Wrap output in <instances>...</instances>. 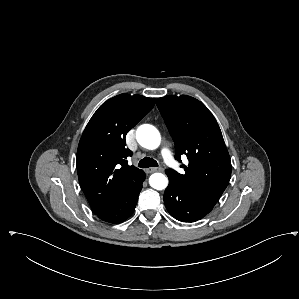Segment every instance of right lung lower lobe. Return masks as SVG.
Segmentation results:
<instances>
[{"label":"right lung lower lobe","instance_id":"1","mask_svg":"<svg viewBox=\"0 0 299 299\" xmlns=\"http://www.w3.org/2000/svg\"><path fill=\"white\" fill-rule=\"evenodd\" d=\"M145 180L144 171L138 178L109 206L96 213L105 222L119 223L132 215Z\"/></svg>","mask_w":299,"mask_h":299}]
</instances>
